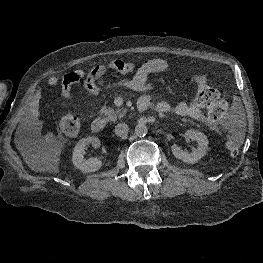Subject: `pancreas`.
I'll use <instances>...</instances> for the list:
<instances>
[{
  "label": "pancreas",
  "mask_w": 263,
  "mask_h": 263,
  "mask_svg": "<svg viewBox=\"0 0 263 263\" xmlns=\"http://www.w3.org/2000/svg\"><path fill=\"white\" fill-rule=\"evenodd\" d=\"M100 113L101 115H103L105 117V119L107 121H116L118 118H122L126 111L125 110H121L119 108H117L116 110L110 108V107H107V106H103L101 109H100Z\"/></svg>",
  "instance_id": "obj_1"
}]
</instances>
